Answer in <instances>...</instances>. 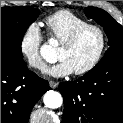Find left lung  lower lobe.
<instances>
[{
	"label": "left lung lower lobe",
	"instance_id": "1",
	"mask_svg": "<svg viewBox=\"0 0 123 123\" xmlns=\"http://www.w3.org/2000/svg\"><path fill=\"white\" fill-rule=\"evenodd\" d=\"M63 123H123V56L97 64L76 81L61 82Z\"/></svg>",
	"mask_w": 123,
	"mask_h": 123
}]
</instances>
